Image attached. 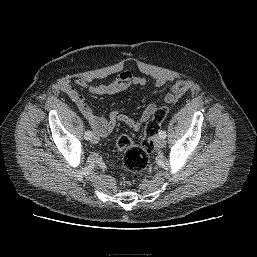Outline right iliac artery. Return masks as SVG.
<instances>
[{"label":"right iliac artery","mask_w":257,"mask_h":257,"mask_svg":"<svg viewBox=\"0 0 257 257\" xmlns=\"http://www.w3.org/2000/svg\"><path fill=\"white\" fill-rule=\"evenodd\" d=\"M91 137H92V132H91L90 130H87V131L85 132L84 138H85L86 140H90Z\"/></svg>","instance_id":"obj_1"}]
</instances>
